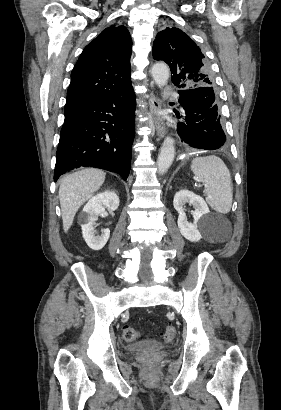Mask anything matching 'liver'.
<instances>
[{"label":"liver","instance_id":"1","mask_svg":"<svg viewBox=\"0 0 281 410\" xmlns=\"http://www.w3.org/2000/svg\"><path fill=\"white\" fill-rule=\"evenodd\" d=\"M105 175L99 169L85 168L61 179L59 200L65 232L72 226L78 209L102 186Z\"/></svg>","mask_w":281,"mask_h":410}]
</instances>
